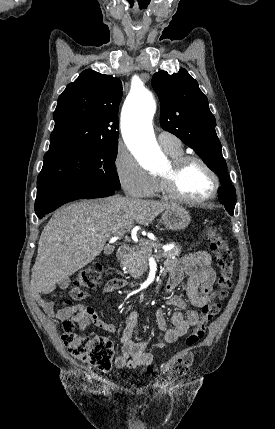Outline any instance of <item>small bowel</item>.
Returning a JSON list of instances; mask_svg holds the SVG:
<instances>
[{"mask_svg": "<svg viewBox=\"0 0 275 429\" xmlns=\"http://www.w3.org/2000/svg\"><path fill=\"white\" fill-rule=\"evenodd\" d=\"M169 272L166 284V291L171 293L187 277L186 293L188 301L177 295H170L166 303L177 308L171 315V326L167 324L164 312L158 310L156 320L158 327L164 334V342L157 343L155 347L161 348L165 343H174L186 334L191 326L197 324L199 312L195 309H187L188 302L196 308L211 303L217 294L214 284L217 278L216 272L211 266V257L205 251H197L185 255L180 261L171 259L165 264ZM49 286L40 289L36 293V302L50 316L60 320H69L73 324L84 330L90 324H94L108 332H115L116 327L104 321L97 314L95 309L86 303L89 294L80 289L70 290V296L81 303L63 309H57L52 301L43 298V294L51 292L57 286ZM125 285L120 279L109 280L104 287L105 292L112 293L118 291ZM186 310L184 313L183 311ZM138 313L132 311L127 320L121 335V354L115 359V366L118 369H135L139 366L150 365L153 355L148 343L135 340V327Z\"/></svg>", "mask_w": 275, "mask_h": 429, "instance_id": "obj_1", "label": "small bowel"}]
</instances>
